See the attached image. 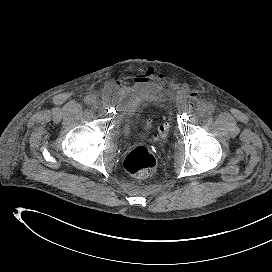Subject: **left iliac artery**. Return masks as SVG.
<instances>
[{
  "instance_id": "1",
  "label": "left iliac artery",
  "mask_w": 272,
  "mask_h": 272,
  "mask_svg": "<svg viewBox=\"0 0 272 272\" xmlns=\"http://www.w3.org/2000/svg\"><path fill=\"white\" fill-rule=\"evenodd\" d=\"M207 111L209 114H212L215 112V106L213 104L208 105Z\"/></svg>"
}]
</instances>
